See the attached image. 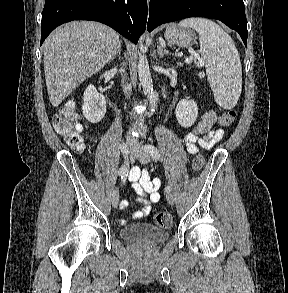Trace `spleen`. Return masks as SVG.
<instances>
[{
  "mask_svg": "<svg viewBox=\"0 0 288 293\" xmlns=\"http://www.w3.org/2000/svg\"><path fill=\"white\" fill-rule=\"evenodd\" d=\"M199 33L200 53L216 102L224 109L236 104L242 90V66L233 39L214 21L189 18L179 23Z\"/></svg>",
  "mask_w": 288,
  "mask_h": 293,
  "instance_id": "spleen-1",
  "label": "spleen"
}]
</instances>
